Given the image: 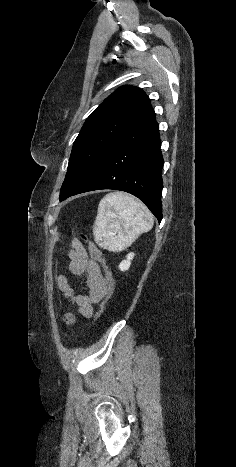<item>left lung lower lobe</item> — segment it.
Here are the masks:
<instances>
[{"label":"left lung lower lobe","instance_id":"obj_1","mask_svg":"<svg viewBox=\"0 0 236 467\" xmlns=\"http://www.w3.org/2000/svg\"><path fill=\"white\" fill-rule=\"evenodd\" d=\"M160 144L159 125L152 110L110 147L91 177L73 195L101 189L122 190L142 200L160 222Z\"/></svg>","mask_w":236,"mask_h":467}]
</instances>
